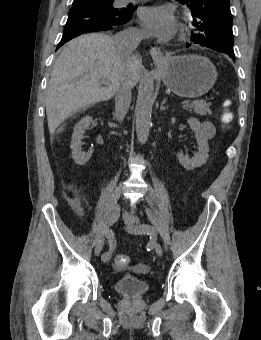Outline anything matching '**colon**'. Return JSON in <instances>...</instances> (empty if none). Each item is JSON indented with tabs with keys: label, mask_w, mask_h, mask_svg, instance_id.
I'll list each match as a JSON object with an SVG mask.
<instances>
[{
	"label": "colon",
	"mask_w": 261,
	"mask_h": 340,
	"mask_svg": "<svg viewBox=\"0 0 261 340\" xmlns=\"http://www.w3.org/2000/svg\"><path fill=\"white\" fill-rule=\"evenodd\" d=\"M231 105L230 100H225L223 102V111H222V121L226 124L230 123L233 120V114L230 111L229 107ZM129 264V258L126 255L119 254L114 259V266L117 270L125 269Z\"/></svg>",
	"instance_id": "5ec220e1"
}]
</instances>
